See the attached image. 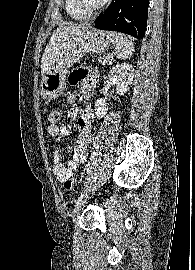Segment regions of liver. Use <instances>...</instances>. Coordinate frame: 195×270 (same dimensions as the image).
I'll list each match as a JSON object with an SVG mask.
<instances>
[{
    "label": "liver",
    "mask_w": 195,
    "mask_h": 270,
    "mask_svg": "<svg viewBox=\"0 0 195 270\" xmlns=\"http://www.w3.org/2000/svg\"><path fill=\"white\" fill-rule=\"evenodd\" d=\"M87 26L74 25L67 23L59 26L52 34L42 56L41 61V75L45 76L49 67L59 57L61 51L64 49L66 42L73 36L79 35L81 32L87 30Z\"/></svg>",
    "instance_id": "6515ba94"
}]
</instances>
